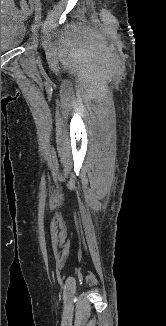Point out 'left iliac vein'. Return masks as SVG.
Instances as JSON below:
<instances>
[{
  "label": "left iliac vein",
  "mask_w": 166,
  "mask_h": 326,
  "mask_svg": "<svg viewBox=\"0 0 166 326\" xmlns=\"http://www.w3.org/2000/svg\"><path fill=\"white\" fill-rule=\"evenodd\" d=\"M32 40L35 47L38 45V27L36 23L32 24Z\"/></svg>",
  "instance_id": "left-iliac-vein-1"
}]
</instances>
